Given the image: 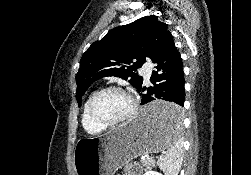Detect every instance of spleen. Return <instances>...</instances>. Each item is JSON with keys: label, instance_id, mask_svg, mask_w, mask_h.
I'll return each instance as SVG.
<instances>
[{"label": "spleen", "instance_id": "3e777b00", "mask_svg": "<svg viewBox=\"0 0 251 175\" xmlns=\"http://www.w3.org/2000/svg\"><path fill=\"white\" fill-rule=\"evenodd\" d=\"M181 113V107H174L164 119L166 133L171 145L165 155H160L157 163L165 175H178L181 169L183 161L182 139L179 137Z\"/></svg>", "mask_w": 251, "mask_h": 175}]
</instances>
